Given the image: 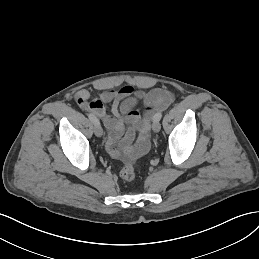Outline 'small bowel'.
Listing matches in <instances>:
<instances>
[{
  "label": "small bowel",
  "instance_id": "obj_1",
  "mask_svg": "<svg viewBox=\"0 0 259 259\" xmlns=\"http://www.w3.org/2000/svg\"><path fill=\"white\" fill-rule=\"evenodd\" d=\"M97 89L100 93L96 97L86 89L79 90L75 100L81 109L102 120L109 130L106 150L115 158H137L145 154L153 114L170 105L172 93L164 89L135 91L130 85L119 89L99 85ZM138 103L145 107L143 114L135 109ZM108 104H111V114L107 113Z\"/></svg>",
  "mask_w": 259,
  "mask_h": 259
}]
</instances>
